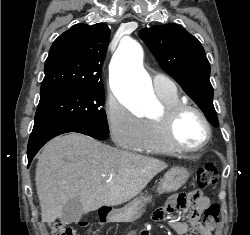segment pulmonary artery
<instances>
[{
	"label": "pulmonary artery",
	"instance_id": "1",
	"mask_svg": "<svg viewBox=\"0 0 250 235\" xmlns=\"http://www.w3.org/2000/svg\"><path fill=\"white\" fill-rule=\"evenodd\" d=\"M153 87L158 94H172L176 92L175 84L164 75H155L153 77Z\"/></svg>",
	"mask_w": 250,
	"mask_h": 235
}]
</instances>
